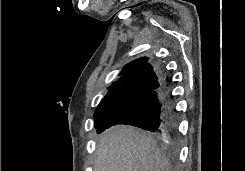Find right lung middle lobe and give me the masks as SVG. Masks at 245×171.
Returning a JSON list of instances; mask_svg holds the SVG:
<instances>
[{"instance_id": "dd1d6c3e", "label": "right lung middle lobe", "mask_w": 245, "mask_h": 171, "mask_svg": "<svg viewBox=\"0 0 245 171\" xmlns=\"http://www.w3.org/2000/svg\"><path fill=\"white\" fill-rule=\"evenodd\" d=\"M120 103V101H109L105 103H100L95 110L94 120L95 127L97 128L99 124L103 121L106 115Z\"/></svg>"}]
</instances>
